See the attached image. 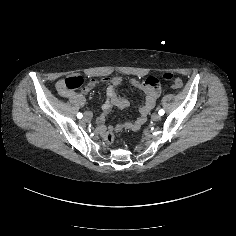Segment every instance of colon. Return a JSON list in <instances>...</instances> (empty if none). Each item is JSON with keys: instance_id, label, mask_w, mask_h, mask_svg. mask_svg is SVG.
<instances>
[{"instance_id": "1", "label": "colon", "mask_w": 236, "mask_h": 236, "mask_svg": "<svg viewBox=\"0 0 236 236\" xmlns=\"http://www.w3.org/2000/svg\"><path fill=\"white\" fill-rule=\"evenodd\" d=\"M162 77L164 80L168 81L170 83V85L175 89L181 88L183 85L182 79L179 77H176L172 73H165V74H163ZM149 80H150V83H152V84L156 82L155 78H150ZM83 84H84V79L82 77L70 76L61 82L59 91L60 92H70V91L80 88L81 86H83ZM104 139L107 144H111L114 141L113 133L107 132L105 134Z\"/></svg>"}]
</instances>
